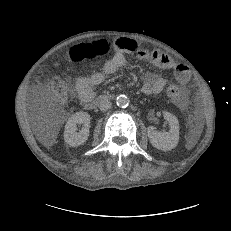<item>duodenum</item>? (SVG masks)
<instances>
[{
	"label": "duodenum",
	"mask_w": 231,
	"mask_h": 231,
	"mask_svg": "<svg viewBox=\"0 0 231 231\" xmlns=\"http://www.w3.org/2000/svg\"><path fill=\"white\" fill-rule=\"evenodd\" d=\"M111 96L110 95H101L99 96L95 101H88V102H84L86 107L89 109H93L95 106H97L99 103L106 101L108 99H110Z\"/></svg>",
	"instance_id": "duodenum-1"
}]
</instances>
